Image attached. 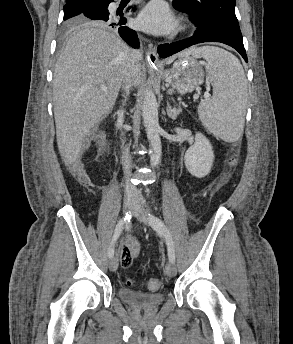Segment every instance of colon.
Returning <instances> with one entry per match:
<instances>
[{
  "mask_svg": "<svg viewBox=\"0 0 293 344\" xmlns=\"http://www.w3.org/2000/svg\"><path fill=\"white\" fill-rule=\"evenodd\" d=\"M236 163V157L235 156H232L230 159H229V165L230 166H234ZM159 281L156 280V279H150L148 282H147V287L150 289V290H156L159 288Z\"/></svg>",
  "mask_w": 293,
  "mask_h": 344,
  "instance_id": "obj_1",
  "label": "colon"
}]
</instances>
